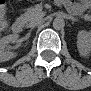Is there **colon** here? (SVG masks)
I'll list each match as a JSON object with an SVG mask.
<instances>
[{
    "label": "colon",
    "mask_w": 91,
    "mask_h": 91,
    "mask_svg": "<svg viewBox=\"0 0 91 91\" xmlns=\"http://www.w3.org/2000/svg\"><path fill=\"white\" fill-rule=\"evenodd\" d=\"M3 9H5L3 6L1 7V9H0V14H2L3 13ZM5 12H6V10H5ZM8 26V24H6V27Z\"/></svg>",
    "instance_id": "obj_1"
}]
</instances>
